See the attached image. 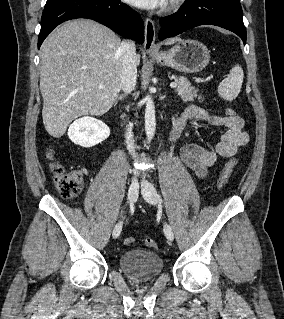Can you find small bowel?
<instances>
[{
	"label": "small bowel",
	"instance_id": "1",
	"mask_svg": "<svg viewBox=\"0 0 284 319\" xmlns=\"http://www.w3.org/2000/svg\"><path fill=\"white\" fill-rule=\"evenodd\" d=\"M198 119L217 127H225L220 140L213 149L205 148L196 143H187L180 148V158L198 178L208 175L209 169L214 166L218 158H229L249 143V135L244 131V120L239 117H224L210 114L204 108L188 106L174 122L173 128L179 136L186 127L187 120Z\"/></svg>",
	"mask_w": 284,
	"mask_h": 319
}]
</instances>
